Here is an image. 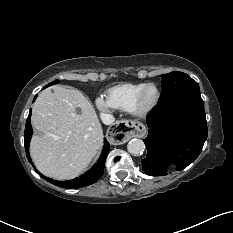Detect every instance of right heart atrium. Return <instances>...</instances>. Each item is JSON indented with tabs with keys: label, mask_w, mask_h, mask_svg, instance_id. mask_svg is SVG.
<instances>
[{
	"label": "right heart atrium",
	"mask_w": 233,
	"mask_h": 233,
	"mask_svg": "<svg viewBox=\"0 0 233 233\" xmlns=\"http://www.w3.org/2000/svg\"><path fill=\"white\" fill-rule=\"evenodd\" d=\"M95 105L97 109L102 113H107L112 110L111 105L107 102L106 98L97 97L95 100Z\"/></svg>",
	"instance_id": "d8ad5b80"
}]
</instances>
